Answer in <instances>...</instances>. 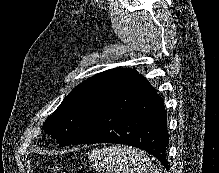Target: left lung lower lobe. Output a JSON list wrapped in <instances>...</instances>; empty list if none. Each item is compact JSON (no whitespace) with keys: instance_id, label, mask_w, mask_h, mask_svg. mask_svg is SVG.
Segmentation results:
<instances>
[{"instance_id":"obj_1","label":"left lung lower lobe","mask_w":219,"mask_h":173,"mask_svg":"<svg viewBox=\"0 0 219 173\" xmlns=\"http://www.w3.org/2000/svg\"><path fill=\"white\" fill-rule=\"evenodd\" d=\"M164 100L141 75L108 102L72 144L119 143L143 149L168 170Z\"/></svg>"}]
</instances>
